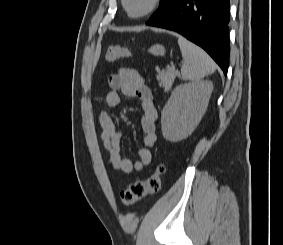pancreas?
Masks as SVG:
<instances>
[{
  "mask_svg": "<svg viewBox=\"0 0 283 245\" xmlns=\"http://www.w3.org/2000/svg\"><path fill=\"white\" fill-rule=\"evenodd\" d=\"M177 76H179L178 71L168 69L166 71L159 72L157 80L159 81L160 87L164 88V90L168 92L171 90L172 84Z\"/></svg>",
  "mask_w": 283,
  "mask_h": 245,
  "instance_id": "pancreas-1",
  "label": "pancreas"
}]
</instances>
